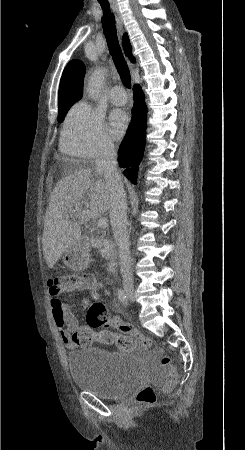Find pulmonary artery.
<instances>
[{
	"mask_svg": "<svg viewBox=\"0 0 245 450\" xmlns=\"http://www.w3.org/2000/svg\"><path fill=\"white\" fill-rule=\"evenodd\" d=\"M110 101L115 105H124L127 101L124 89L120 85H115L110 90Z\"/></svg>",
	"mask_w": 245,
	"mask_h": 450,
	"instance_id": "obj_1",
	"label": "pulmonary artery"
}]
</instances>
